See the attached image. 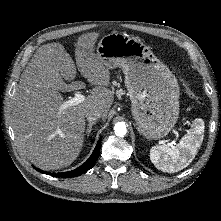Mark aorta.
Here are the masks:
<instances>
[{"mask_svg": "<svg viewBox=\"0 0 221 221\" xmlns=\"http://www.w3.org/2000/svg\"><path fill=\"white\" fill-rule=\"evenodd\" d=\"M114 131L117 136L123 137L127 133V128L124 122H118L114 126Z\"/></svg>", "mask_w": 221, "mask_h": 221, "instance_id": "obj_1", "label": "aorta"}]
</instances>
